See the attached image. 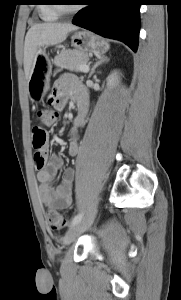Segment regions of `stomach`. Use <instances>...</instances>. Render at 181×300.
I'll list each match as a JSON object with an SVG mask.
<instances>
[{
	"label": "stomach",
	"instance_id": "obj_1",
	"mask_svg": "<svg viewBox=\"0 0 181 300\" xmlns=\"http://www.w3.org/2000/svg\"><path fill=\"white\" fill-rule=\"evenodd\" d=\"M71 44L75 50L83 53H94L98 56L109 49L107 41L88 31H78L71 36ZM51 61L44 49H40L28 80V93L32 101H41L49 89Z\"/></svg>",
	"mask_w": 181,
	"mask_h": 300
}]
</instances>
